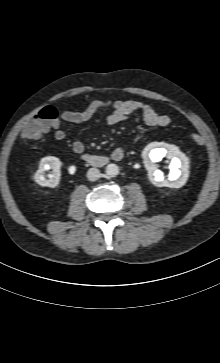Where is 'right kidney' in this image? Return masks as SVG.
Here are the masks:
<instances>
[{
  "label": "right kidney",
  "instance_id": "1",
  "mask_svg": "<svg viewBox=\"0 0 220 363\" xmlns=\"http://www.w3.org/2000/svg\"><path fill=\"white\" fill-rule=\"evenodd\" d=\"M61 161L54 156H48L41 159L39 168L34 174V180L37 184L43 187L54 188L59 184L61 177ZM53 169L52 174L48 175V179L45 177L44 172L46 170Z\"/></svg>",
  "mask_w": 220,
  "mask_h": 363
}]
</instances>
